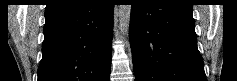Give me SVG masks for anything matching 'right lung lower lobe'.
<instances>
[{
    "label": "right lung lower lobe",
    "mask_w": 237,
    "mask_h": 81,
    "mask_svg": "<svg viewBox=\"0 0 237 81\" xmlns=\"http://www.w3.org/2000/svg\"><path fill=\"white\" fill-rule=\"evenodd\" d=\"M114 5L75 0L45 11L38 81H109Z\"/></svg>",
    "instance_id": "obj_1"
}]
</instances>
